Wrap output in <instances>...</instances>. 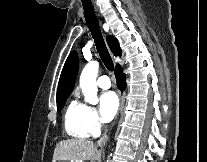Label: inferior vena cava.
I'll list each match as a JSON object with an SVG mask.
<instances>
[{
	"label": "inferior vena cava",
	"instance_id": "obj_1",
	"mask_svg": "<svg viewBox=\"0 0 207 162\" xmlns=\"http://www.w3.org/2000/svg\"><path fill=\"white\" fill-rule=\"evenodd\" d=\"M107 139H108V136H107L106 131H105V133L103 134V136L98 140L97 146L102 147L103 145H105Z\"/></svg>",
	"mask_w": 207,
	"mask_h": 162
}]
</instances>
